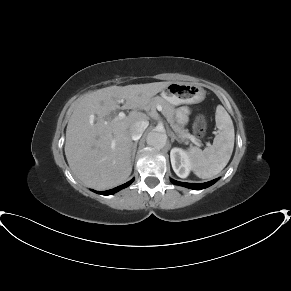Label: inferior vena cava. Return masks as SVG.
<instances>
[{"label": "inferior vena cava", "mask_w": 291, "mask_h": 291, "mask_svg": "<svg viewBox=\"0 0 291 291\" xmlns=\"http://www.w3.org/2000/svg\"><path fill=\"white\" fill-rule=\"evenodd\" d=\"M148 125H149V122L146 120L137 121L133 123L129 128V132H130L132 140L134 141L139 140Z\"/></svg>", "instance_id": "obj_1"}]
</instances>
